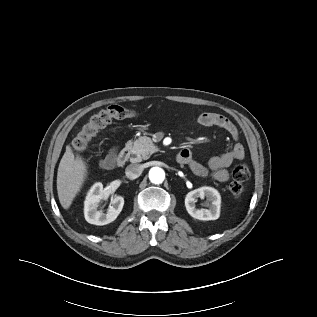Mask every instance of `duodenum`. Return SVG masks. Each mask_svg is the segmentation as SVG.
I'll return each mask as SVG.
<instances>
[{
  "label": "duodenum",
  "mask_w": 317,
  "mask_h": 317,
  "mask_svg": "<svg viewBox=\"0 0 317 317\" xmlns=\"http://www.w3.org/2000/svg\"><path fill=\"white\" fill-rule=\"evenodd\" d=\"M129 149L128 148H123L119 151L117 156H114L111 159L107 160V164L105 166L106 169H111L114 166H122L124 165L128 158H129ZM188 156V152L182 150L178 155H177V162L182 163L184 159Z\"/></svg>",
  "instance_id": "duodenum-1"
}]
</instances>
